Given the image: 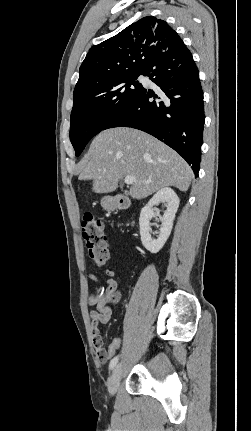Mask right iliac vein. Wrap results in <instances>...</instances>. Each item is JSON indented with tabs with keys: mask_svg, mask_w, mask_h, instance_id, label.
Listing matches in <instances>:
<instances>
[{
	"mask_svg": "<svg viewBox=\"0 0 251 431\" xmlns=\"http://www.w3.org/2000/svg\"><path fill=\"white\" fill-rule=\"evenodd\" d=\"M122 375H123L122 365L118 364L114 368V370L111 374V377L109 379V382H108V391L111 395H114L116 393L118 386H119V383H120V380L122 378Z\"/></svg>",
	"mask_w": 251,
	"mask_h": 431,
	"instance_id": "right-iliac-vein-1",
	"label": "right iliac vein"
}]
</instances>
